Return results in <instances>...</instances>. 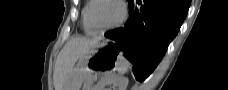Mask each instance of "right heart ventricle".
Returning <instances> with one entry per match:
<instances>
[{
  "label": "right heart ventricle",
  "mask_w": 228,
  "mask_h": 90,
  "mask_svg": "<svg viewBox=\"0 0 228 90\" xmlns=\"http://www.w3.org/2000/svg\"><path fill=\"white\" fill-rule=\"evenodd\" d=\"M91 4H92V0L85 1L84 5L82 7V11H81L82 27H83L84 32L88 35H93L96 33L91 28L89 21H88V13H89Z\"/></svg>",
  "instance_id": "right-heart-ventricle-1"
}]
</instances>
